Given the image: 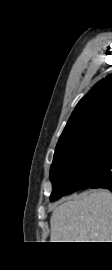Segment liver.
Returning <instances> with one entry per match:
<instances>
[{
    "mask_svg": "<svg viewBox=\"0 0 112 270\" xmlns=\"http://www.w3.org/2000/svg\"><path fill=\"white\" fill-rule=\"evenodd\" d=\"M51 242H112V193L98 189L70 197L50 219Z\"/></svg>",
    "mask_w": 112,
    "mask_h": 270,
    "instance_id": "6515ba94",
    "label": "liver"
}]
</instances>
